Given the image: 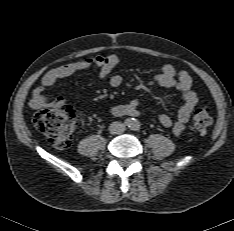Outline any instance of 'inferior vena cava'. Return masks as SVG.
<instances>
[{
  "instance_id": "602c4592",
  "label": "inferior vena cava",
  "mask_w": 234,
  "mask_h": 231,
  "mask_svg": "<svg viewBox=\"0 0 234 231\" xmlns=\"http://www.w3.org/2000/svg\"><path fill=\"white\" fill-rule=\"evenodd\" d=\"M125 130V125L121 122H112L109 126V131L111 134H121Z\"/></svg>"
}]
</instances>
